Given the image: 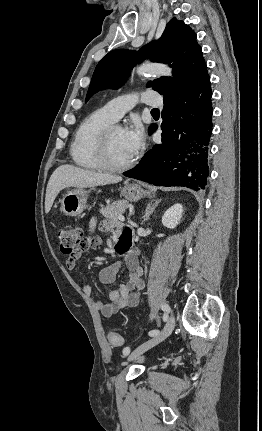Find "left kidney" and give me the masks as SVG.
I'll use <instances>...</instances> for the list:
<instances>
[{
  "mask_svg": "<svg viewBox=\"0 0 262 431\" xmlns=\"http://www.w3.org/2000/svg\"><path fill=\"white\" fill-rule=\"evenodd\" d=\"M183 213V206L181 204H175L171 206L162 217V224L167 228H175L181 218Z\"/></svg>",
  "mask_w": 262,
  "mask_h": 431,
  "instance_id": "obj_1",
  "label": "left kidney"
}]
</instances>
